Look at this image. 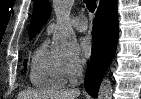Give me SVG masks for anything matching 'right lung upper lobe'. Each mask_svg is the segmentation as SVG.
Instances as JSON below:
<instances>
[{"label": "right lung upper lobe", "mask_w": 141, "mask_h": 99, "mask_svg": "<svg viewBox=\"0 0 141 99\" xmlns=\"http://www.w3.org/2000/svg\"><path fill=\"white\" fill-rule=\"evenodd\" d=\"M105 0H101L103 2ZM100 2V3H101ZM51 14V6L48 0H35L34 11L30 26V39H32L42 26L46 23Z\"/></svg>", "instance_id": "right-lung-upper-lobe-1"}]
</instances>
